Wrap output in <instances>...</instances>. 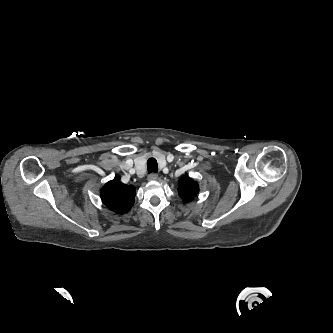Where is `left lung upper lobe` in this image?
Segmentation results:
<instances>
[{"label": "left lung upper lobe", "mask_w": 333, "mask_h": 333, "mask_svg": "<svg viewBox=\"0 0 333 333\" xmlns=\"http://www.w3.org/2000/svg\"><path fill=\"white\" fill-rule=\"evenodd\" d=\"M179 196L184 202H190L197 196L199 192V186L196 181L191 178H182L179 181Z\"/></svg>", "instance_id": "left-lung-upper-lobe-1"}]
</instances>
